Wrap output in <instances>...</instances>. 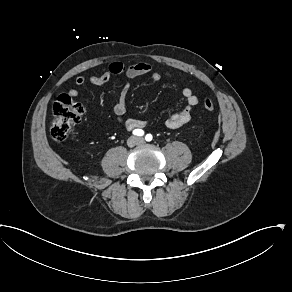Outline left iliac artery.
<instances>
[{"mask_svg": "<svg viewBox=\"0 0 292 292\" xmlns=\"http://www.w3.org/2000/svg\"><path fill=\"white\" fill-rule=\"evenodd\" d=\"M152 138H153V137H152L151 134H147V135L145 136L146 141H151Z\"/></svg>", "mask_w": 292, "mask_h": 292, "instance_id": "left-iliac-artery-1", "label": "left iliac artery"}]
</instances>
